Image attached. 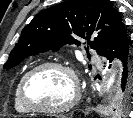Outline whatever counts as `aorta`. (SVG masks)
I'll list each match as a JSON object with an SVG mask.
<instances>
[{
	"label": "aorta",
	"instance_id": "1",
	"mask_svg": "<svg viewBox=\"0 0 133 118\" xmlns=\"http://www.w3.org/2000/svg\"><path fill=\"white\" fill-rule=\"evenodd\" d=\"M115 82V73H113L110 78L107 81V85H106V89L108 90L109 88H111V86H113Z\"/></svg>",
	"mask_w": 133,
	"mask_h": 118
}]
</instances>
